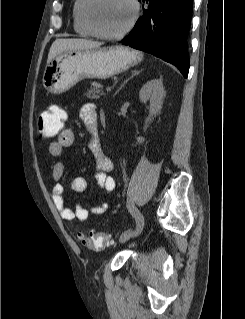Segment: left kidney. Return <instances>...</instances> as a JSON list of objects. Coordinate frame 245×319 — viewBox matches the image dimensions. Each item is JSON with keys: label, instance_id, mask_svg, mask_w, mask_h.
Here are the masks:
<instances>
[{"label": "left kidney", "instance_id": "5707ae66", "mask_svg": "<svg viewBox=\"0 0 245 319\" xmlns=\"http://www.w3.org/2000/svg\"><path fill=\"white\" fill-rule=\"evenodd\" d=\"M139 97L141 102L147 103L150 102V113L145 120L144 130L147 129L148 123L151 122L152 117L157 115L163 105V100L165 97V90L163 87V81L161 79H153L148 81L143 85L139 91ZM143 138H139L138 142H142Z\"/></svg>", "mask_w": 245, "mask_h": 319}]
</instances>
